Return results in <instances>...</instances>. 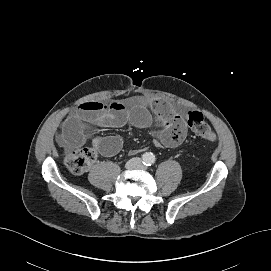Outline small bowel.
Returning <instances> with one entry per match:
<instances>
[{"label":"small bowel","instance_id":"1","mask_svg":"<svg viewBox=\"0 0 271 271\" xmlns=\"http://www.w3.org/2000/svg\"><path fill=\"white\" fill-rule=\"evenodd\" d=\"M129 104L121 100L109 103L97 101L84 102L70 115L62 125L57 136L58 142L66 148L79 147L86 143L85 125L98 128H118L128 121L140 128L148 127L154 117L161 127L160 143L165 147L180 145L187 135L184 118L179 109L162 100L138 96ZM92 146L101 155L111 157L122 147L119 136L95 137Z\"/></svg>","mask_w":271,"mask_h":271}]
</instances>
